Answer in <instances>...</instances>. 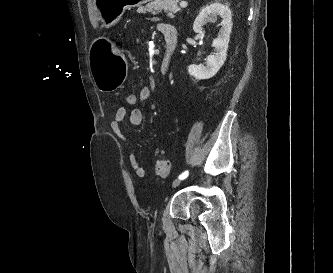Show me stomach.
Instances as JSON below:
<instances>
[{
	"mask_svg": "<svg viewBox=\"0 0 333 273\" xmlns=\"http://www.w3.org/2000/svg\"><path fill=\"white\" fill-rule=\"evenodd\" d=\"M152 0H92L100 14L99 23L105 28H116L120 16L126 10L139 7ZM91 50V73L95 85L102 92L114 91L124 81L127 58H122L113 39H96Z\"/></svg>",
	"mask_w": 333,
	"mask_h": 273,
	"instance_id": "1",
	"label": "stomach"
}]
</instances>
